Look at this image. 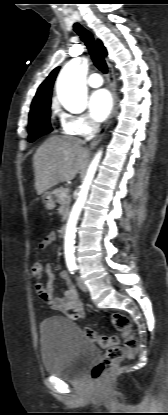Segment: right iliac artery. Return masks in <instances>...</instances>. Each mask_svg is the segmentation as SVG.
Returning <instances> with one entry per match:
<instances>
[{
    "label": "right iliac artery",
    "instance_id": "right-iliac-artery-1",
    "mask_svg": "<svg viewBox=\"0 0 168 415\" xmlns=\"http://www.w3.org/2000/svg\"><path fill=\"white\" fill-rule=\"evenodd\" d=\"M74 270H75V268H74V267H70V268H69V271H70V273H71V274H74Z\"/></svg>",
    "mask_w": 168,
    "mask_h": 415
}]
</instances>
